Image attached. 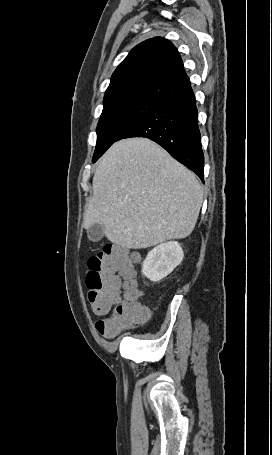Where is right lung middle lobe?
<instances>
[{
	"label": "right lung middle lobe",
	"instance_id": "dd1d6c3e",
	"mask_svg": "<svg viewBox=\"0 0 272 455\" xmlns=\"http://www.w3.org/2000/svg\"><path fill=\"white\" fill-rule=\"evenodd\" d=\"M164 102L134 97L105 104L97 126L93 163L130 127L147 117Z\"/></svg>",
	"mask_w": 272,
	"mask_h": 455
}]
</instances>
